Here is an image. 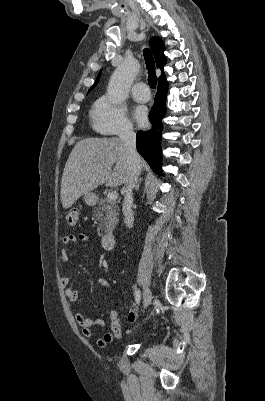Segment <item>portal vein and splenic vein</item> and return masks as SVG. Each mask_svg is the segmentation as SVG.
Masks as SVG:
<instances>
[{"label":"portal vein and splenic vein","mask_w":265,"mask_h":401,"mask_svg":"<svg viewBox=\"0 0 265 401\" xmlns=\"http://www.w3.org/2000/svg\"><path fill=\"white\" fill-rule=\"evenodd\" d=\"M117 196H118V192H116V190H113V192H111L109 198H112V201H116Z\"/></svg>","instance_id":"portal-vein-and-splenic-vein-1"}]
</instances>
